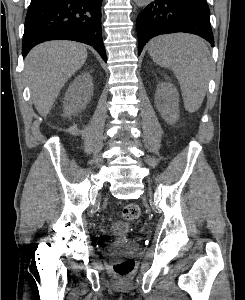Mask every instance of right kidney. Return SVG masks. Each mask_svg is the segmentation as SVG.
<instances>
[{
	"label": "right kidney",
	"mask_w": 245,
	"mask_h": 300,
	"mask_svg": "<svg viewBox=\"0 0 245 300\" xmlns=\"http://www.w3.org/2000/svg\"><path fill=\"white\" fill-rule=\"evenodd\" d=\"M93 94V83L89 73H82L69 86L64 97V116L78 113L89 103Z\"/></svg>",
	"instance_id": "obj_1"
}]
</instances>
